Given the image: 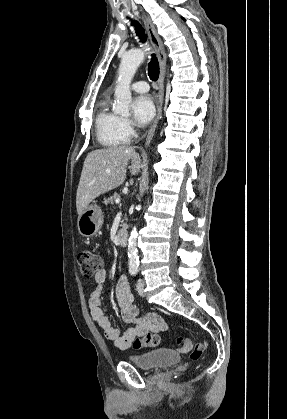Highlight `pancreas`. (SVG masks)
I'll return each instance as SVG.
<instances>
[{
	"label": "pancreas",
	"mask_w": 287,
	"mask_h": 419,
	"mask_svg": "<svg viewBox=\"0 0 287 419\" xmlns=\"http://www.w3.org/2000/svg\"><path fill=\"white\" fill-rule=\"evenodd\" d=\"M117 198H119L118 194L111 195L107 199L104 200V204L105 205L113 204Z\"/></svg>",
	"instance_id": "pancreas-1"
}]
</instances>
